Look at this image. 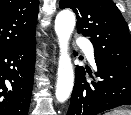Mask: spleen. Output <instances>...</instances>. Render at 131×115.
Segmentation results:
<instances>
[{
  "instance_id": "3e777b00",
  "label": "spleen",
  "mask_w": 131,
  "mask_h": 115,
  "mask_svg": "<svg viewBox=\"0 0 131 115\" xmlns=\"http://www.w3.org/2000/svg\"><path fill=\"white\" fill-rule=\"evenodd\" d=\"M107 115H131L130 110H114L111 113H108Z\"/></svg>"
}]
</instances>
